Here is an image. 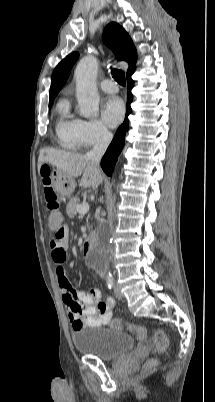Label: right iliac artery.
Instances as JSON below:
<instances>
[{"label": "right iliac artery", "instance_id": "82829eb1", "mask_svg": "<svg viewBox=\"0 0 215 402\" xmlns=\"http://www.w3.org/2000/svg\"><path fill=\"white\" fill-rule=\"evenodd\" d=\"M106 282H107L108 288L112 289L114 286V279L112 277H108Z\"/></svg>", "mask_w": 215, "mask_h": 402}]
</instances>
